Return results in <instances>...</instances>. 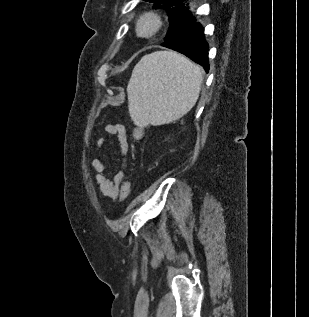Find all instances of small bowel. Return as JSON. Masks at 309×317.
<instances>
[{
  "label": "small bowel",
  "instance_id": "obj_1",
  "mask_svg": "<svg viewBox=\"0 0 309 317\" xmlns=\"http://www.w3.org/2000/svg\"><path fill=\"white\" fill-rule=\"evenodd\" d=\"M106 132L116 136L119 144V152L122 157H125L129 151L128 137L126 129L121 124H107L105 126ZM106 139L101 138L98 141L100 149L104 148ZM91 168L96 172L95 184L99 193L110 198L112 201L121 197V187L125 179V171L121 170L115 173L112 177L108 174V166L99 159H93Z\"/></svg>",
  "mask_w": 309,
  "mask_h": 317
}]
</instances>
